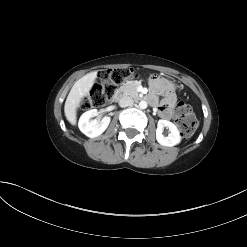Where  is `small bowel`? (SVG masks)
<instances>
[{"label":"small bowel","instance_id":"obj_1","mask_svg":"<svg viewBox=\"0 0 247 247\" xmlns=\"http://www.w3.org/2000/svg\"><path fill=\"white\" fill-rule=\"evenodd\" d=\"M150 86L152 89V93L149 95L151 98V104L157 105L159 114L164 119H170L173 114V107L176 103V95L173 90L172 84L161 78L158 74H153L150 77ZM163 93V99L159 102L156 93Z\"/></svg>","mask_w":247,"mask_h":247}]
</instances>
